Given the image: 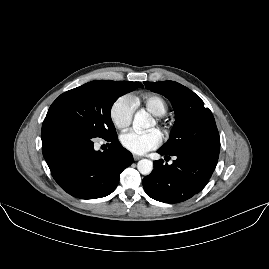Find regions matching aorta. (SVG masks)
<instances>
[{
	"mask_svg": "<svg viewBox=\"0 0 269 269\" xmlns=\"http://www.w3.org/2000/svg\"><path fill=\"white\" fill-rule=\"evenodd\" d=\"M153 126V120L150 114L144 110L138 111L133 120V129L139 133ZM137 169L142 175H149L153 170V162L149 159H141L137 163Z\"/></svg>",
	"mask_w": 269,
	"mask_h": 269,
	"instance_id": "1",
	"label": "aorta"
}]
</instances>
